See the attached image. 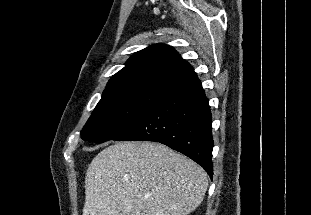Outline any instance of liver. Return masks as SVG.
<instances>
[{"mask_svg":"<svg viewBox=\"0 0 311 215\" xmlns=\"http://www.w3.org/2000/svg\"><path fill=\"white\" fill-rule=\"evenodd\" d=\"M207 187L203 168L167 146L117 142L87 169L83 215H188Z\"/></svg>","mask_w":311,"mask_h":215,"instance_id":"liver-1","label":"liver"}]
</instances>
